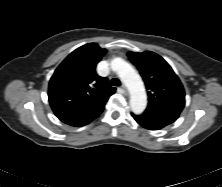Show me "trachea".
I'll return each instance as SVG.
<instances>
[{
    "label": "trachea",
    "instance_id": "1",
    "mask_svg": "<svg viewBox=\"0 0 222 187\" xmlns=\"http://www.w3.org/2000/svg\"><path fill=\"white\" fill-rule=\"evenodd\" d=\"M110 83L112 86H120L121 85L120 80L117 78H113Z\"/></svg>",
    "mask_w": 222,
    "mask_h": 187
}]
</instances>
